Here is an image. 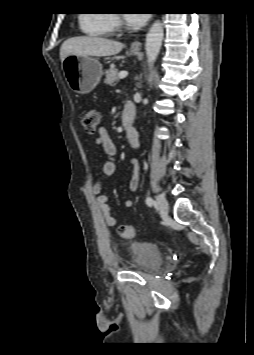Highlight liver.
<instances>
[{"label": "liver", "mask_w": 254, "mask_h": 355, "mask_svg": "<svg viewBox=\"0 0 254 355\" xmlns=\"http://www.w3.org/2000/svg\"><path fill=\"white\" fill-rule=\"evenodd\" d=\"M123 44L117 41L101 37L80 36L69 38L60 48V59L63 60L69 55L78 56H112L118 54Z\"/></svg>", "instance_id": "6515ba94"}]
</instances>
